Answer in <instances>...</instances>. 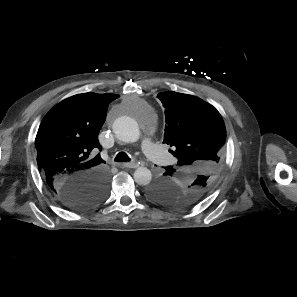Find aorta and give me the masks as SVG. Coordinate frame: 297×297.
Instances as JSON below:
<instances>
[{"label":"aorta","instance_id":"aorta-1","mask_svg":"<svg viewBox=\"0 0 297 297\" xmlns=\"http://www.w3.org/2000/svg\"><path fill=\"white\" fill-rule=\"evenodd\" d=\"M113 131L122 142L134 143L140 138V130L137 122L128 117L121 116L113 123ZM134 181L141 186H146L151 182L152 173L145 167L137 168L134 172Z\"/></svg>","mask_w":297,"mask_h":297}]
</instances>
